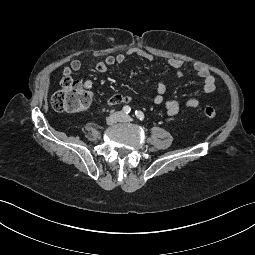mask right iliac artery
I'll return each mask as SVG.
<instances>
[{"instance_id": "right-iliac-artery-1", "label": "right iliac artery", "mask_w": 255, "mask_h": 255, "mask_svg": "<svg viewBox=\"0 0 255 255\" xmlns=\"http://www.w3.org/2000/svg\"><path fill=\"white\" fill-rule=\"evenodd\" d=\"M130 111H131V108H130L129 106H124V107H123V112H124L125 114L130 113Z\"/></svg>"}]
</instances>
